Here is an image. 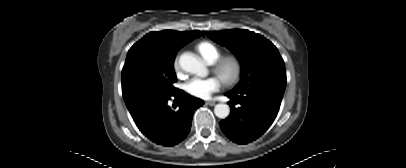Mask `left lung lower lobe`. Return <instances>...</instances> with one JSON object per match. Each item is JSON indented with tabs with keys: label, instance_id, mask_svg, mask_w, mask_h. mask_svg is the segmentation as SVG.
<instances>
[{
	"label": "left lung lower lobe",
	"instance_id": "left-lung-lower-lobe-1",
	"mask_svg": "<svg viewBox=\"0 0 406 168\" xmlns=\"http://www.w3.org/2000/svg\"><path fill=\"white\" fill-rule=\"evenodd\" d=\"M283 94L274 90H251L242 94L228 92L231 113L219 123L221 130L238 144L256 140L273 123ZM237 103L240 105L238 108L235 107Z\"/></svg>",
	"mask_w": 406,
	"mask_h": 168
}]
</instances>
